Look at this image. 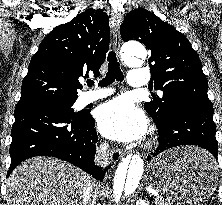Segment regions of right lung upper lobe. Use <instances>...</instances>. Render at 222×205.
Instances as JSON below:
<instances>
[{
  "mask_svg": "<svg viewBox=\"0 0 222 205\" xmlns=\"http://www.w3.org/2000/svg\"><path fill=\"white\" fill-rule=\"evenodd\" d=\"M109 41L108 16L101 9L89 8L55 27L30 61L16 109L76 101L79 77L86 78L89 71L99 75Z\"/></svg>",
  "mask_w": 222,
  "mask_h": 205,
  "instance_id": "obj_1",
  "label": "right lung upper lobe"
}]
</instances>
